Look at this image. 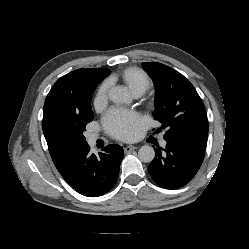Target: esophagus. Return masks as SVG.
Returning <instances> with one entry per match:
<instances>
[{"instance_id":"obj_1","label":"esophagus","mask_w":249,"mask_h":249,"mask_svg":"<svg viewBox=\"0 0 249 249\" xmlns=\"http://www.w3.org/2000/svg\"><path fill=\"white\" fill-rule=\"evenodd\" d=\"M137 147L134 146V145H127L124 147V152L127 154V153H130L131 151L135 150Z\"/></svg>"}]
</instances>
